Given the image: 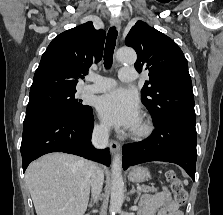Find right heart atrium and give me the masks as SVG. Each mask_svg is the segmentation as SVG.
<instances>
[{
  "mask_svg": "<svg viewBox=\"0 0 223 215\" xmlns=\"http://www.w3.org/2000/svg\"><path fill=\"white\" fill-rule=\"evenodd\" d=\"M96 131L99 134H104V133H106L107 129L104 125L98 124V125H96Z\"/></svg>",
  "mask_w": 223,
  "mask_h": 215,
  "instance_id": "obj_1",
  "label": "right heart atrium"
}]
</instances>
